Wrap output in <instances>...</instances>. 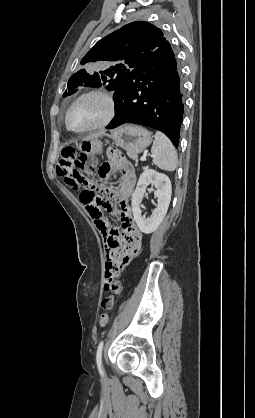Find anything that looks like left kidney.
Here are the masks:
<instances>
[{
    "instance_id": "1",
    "label": "left kidney",
    "mask_w": 255,
    "mask_h": 418,
    "mask_svg": "<svg viewBox=\"0 0 255 418\" xmlns=\"http://www.w3.org/2000/svg\"><path fill=\"white\" fill-rule=\"evenodd\" d=\"M149 184L156 188L154 194L158 198V203L153 210L152 215L145 219L142 216L140 207L146 188ZM171 193L172 186L168 176L153 169H144L132 195V212L134 220L141 232L150 234L158 228L167 213L171 201Z\"/></svg>"
}]
</instances>
